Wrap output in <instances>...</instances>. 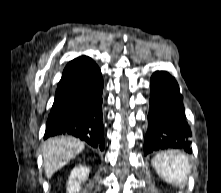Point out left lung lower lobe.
<instances>
[{
	"instance_id": "1",
	"label": "left lung lower lobe",
	"mask_w": 221,
	"mask_h": 193,
	"mask_svg": "<svg viewBox=\"0 0 221 193\" xmlns=\"http://www.w3.org/2000/svg\"><path fill=\"white\" fill-rule=\"evenodd\" d=\"M150 111L144 154L160 149H183L192 152V136L185 116L183 98L176 80L167 72L156 71L151 77ZM165 113L170 120L165 118Z\"/></svg>"
}]
</instances>
